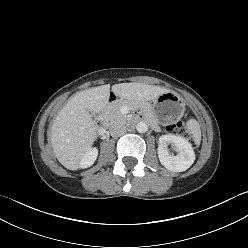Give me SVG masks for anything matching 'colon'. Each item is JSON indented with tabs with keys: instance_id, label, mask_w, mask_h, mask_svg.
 Listing matches in <instances>:
<instances>
[{
	"instance_id": "colon-1",
	"label": "colon",
	"mask_w": 248,
	"mask_h": 248,
	"mask_svg": "<svg viewBox=\"0 0 248 248\" xmlns=\"http://www.w3.org/2000/svg\"><path fill=\"white\" fill-rule=\"evenodd\" d=\"M167 130L174 134V135H180V136H185L187 138H189L190 140H192L191 136L188 134L185 124L182 121H176L172 124H170L167 127Z\"/></svg>"
}]
</instances>
